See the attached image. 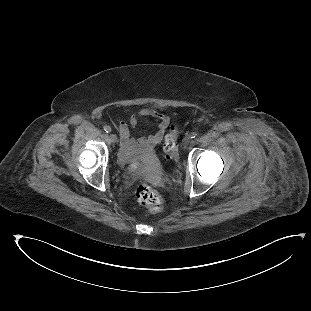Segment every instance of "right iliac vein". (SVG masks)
Instances as JSON below:
<instances>
[{
  "label": "right iliac vein",
  "mask_w": 311,
  "mask_h": 311,
  "mask_svg": "<svg viewBox=\"0 0 311 311\" xmlns=\"http://www.w3.org/2000/svg\"><path fill=\"white\" fill-rule=\"evenodd\" d=\"M109 138H110V141L112 142V143H116V141H117V136L115 135V134H110L109 135Z\"/></svg>",
  "instance_id": "obj_1"
}]
</instances>
